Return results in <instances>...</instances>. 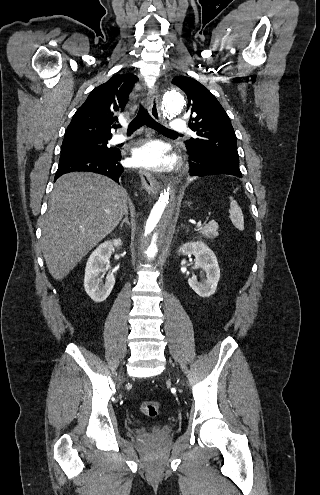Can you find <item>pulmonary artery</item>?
Instances as JSON below:
<instances>
[{"instance_id": "e3ab8cb5", "label": "pulmonary artery", "mask_w": 320, "mask_h": 495, "mask_svg": "<svg viewBox=\"0 0 320 495\" xmlns=\"http://www.w3.org/2000/svg\"><path fill=\"white\" fill-rule=\"evenodd\" d=\"M186 122L185 120L181 119V118H177V119H174L171 123H170V130L172 131H175V132H179V131H184L186 129ZM128 138L122 134H118V135H115L113 138H112V142L115 143V144H118V143H122L124 141H126Z\"/></svg>"}]
</instances>
